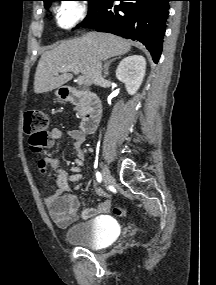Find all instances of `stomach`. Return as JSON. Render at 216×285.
I'll return each mask as SVG.
<instances>
[{"instance_id":"obj_1","label":"stomach","mask_w":216,"mask_h":285,"mask_svg":"<svg viewBox=\"0 0 216 285\" xmlns=\"http://www.w3.org/2000/svg\"><path fill=\"white\" fill-rule=\"evenodd\" d=\"M57 97L61 98V95L59 94V91L56 92Z\"/></svg>"}]
</instances>
